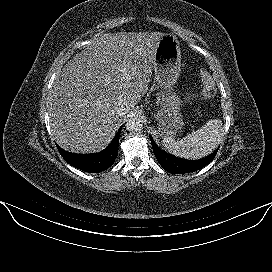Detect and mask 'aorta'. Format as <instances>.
Masks as SVG:
<instances>
[{
  "label": "aorta",
  "mask_w": 272,
  "mask_h": 272,
  "mask_svg": "<svg viewBox=\"0 0 272 272\" xmlns=\"http://www.w3.org/2000/svg\"><path fill=\"white\" fill-rule=\"evenodd\" d=\"M126 130L128 132H140L143 129V123L139 118H131L126 123Z\"/></svg>",
  "instance_id": "obj_1"
}]
</instances>
